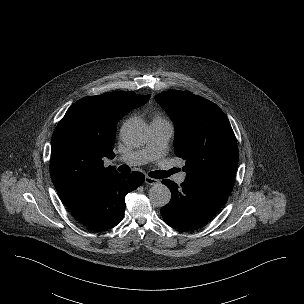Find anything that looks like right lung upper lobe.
I'll use <instances>...</instances> for the list:
<instances>
[{
  "label": "right lung upper lobe",
  "instance_id": "obj_1",
  "mask_svg": "<svg viewBox=\"0 0 304 304\" xmlns=\"http://www.w3.org/2000/svg\"><path fill=\"white\" fill-rule=\"evenodd\" d=\"M150 95L113 92L75 102L58 123L51 140L50 172L62 202L72 209L111 172L104 158L112 159L117 122L144 105Z\"/></svg>",
  "mask_w": 304,
  "mask_h": 304
}]
</instances>
